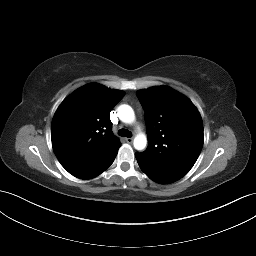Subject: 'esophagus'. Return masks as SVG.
Listing matches in <instances>:
<instances>
[{
    "instance_id": "esophagus-1",
    "label": "esophagus",
    "mask_w": 256,
    "mask_h": 256,
    "mask_svg": "<svg viewBox=\"0 0 256 256\" xmlns=\"http://www.w3.org/2000/svg\"><path fill=\"white\" fill-rule=\"evenodd\" d=\"M126 142L131 144L133 142V138H126Z\"/></svg>"
}]
</instances>
